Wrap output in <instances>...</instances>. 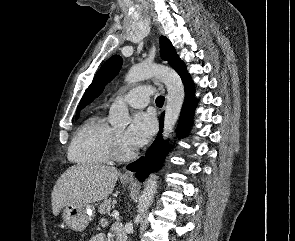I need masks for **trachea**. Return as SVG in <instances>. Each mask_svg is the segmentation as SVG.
<instances>
[{
    "mask_svg": "<svg viewBox=\"0 0 295 241\" xmlns=\"http://www.w3.org/2000/svg\"><path fill=\"white\" fill-rule=\"evenodd\" d=\"M156 104H157L158 106H163V104H164V97H163V96H158V97L156 98Z\"/></svg>",
    "mask_w": 295,
    "mask_h": 241,
    "instance_id": "1",
    "label": "trachea"
}]
</instances>
